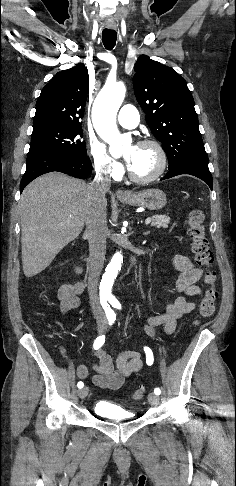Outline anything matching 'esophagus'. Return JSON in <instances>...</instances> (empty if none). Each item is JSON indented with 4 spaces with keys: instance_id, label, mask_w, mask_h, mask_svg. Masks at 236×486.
<instances>
[{
    "instance_id": "esophagus-1",
    "label": "esophagus",
    "mask_w": 236,
    "mask_h": 486,
    "mask_svg": "<svg viewBox=\"0 0 236 486\" xmlns=\"http://www.w3.org/2000/svg\"><path fill=\"white\" fill-rule=\"evenodd\" d=\"M110 29H115V28H112V27H111ZM116 196H117L118 198L129 197V196H130V193H129L128 191H124V190H122V189H118V190L116 191Z\"/></svg>"
}]
</instances>
